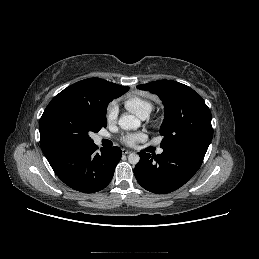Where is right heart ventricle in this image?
Segmentation results:
<instances>
[{"label":"right heart ventricle","instance_id":"1","mask_svg":"<svg viewBox=\"0 0 259 259\" xmlns=\"http://www.w3.org/2000/svg\"><path fill=\"white\" fill-rule=\"evenodd\" d=\"M125 106L128 110L138 116L148 115L152 110V103L150 100L140 97L132 96L126 99Z\"/></svg>","mask_w":259,"mask_h":259}]
</instances>
